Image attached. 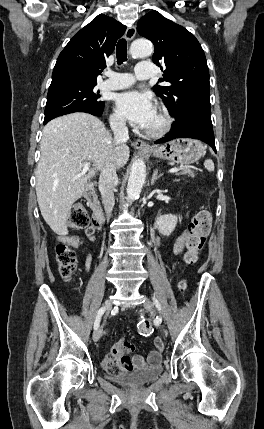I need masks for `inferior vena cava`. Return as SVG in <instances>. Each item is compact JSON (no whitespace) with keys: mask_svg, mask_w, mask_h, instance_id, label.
Listing matches in <instances>:
<instances>
[{"mask_svg":"<svg viewBox=\"0 0 264 429\" xmlns=\"http://www.w3.org/2000/svg\"><path fill=\"white\" fill-rule=\"evenodd\" d=\"M111 129L114 133V141L116 143H124L129 140L128 128L126 121L122 117H116L110 122ZM118 182L116 174V165L108 161L100 169L99 177V190L102 196V203L104 205L105 212L108 216L111 215L115 199H114V187ZM109 224L112 222L110 219L107 221Z\"/></svg>","mask_w":264,"mask_h":429,"instance_id":"602c4592","label":"inferior vena cava"}]
</instances>
